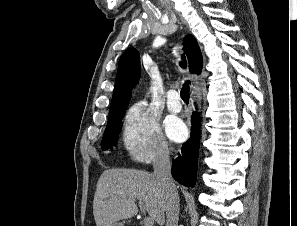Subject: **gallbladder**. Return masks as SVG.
I'll return each mask as SVG.
<instances>
[{
    "mask_svg": "<svg viewBox=\"0 0 297 226\" xmlns=\"http://www.w3.org/2000/svg\"><path fill=\"white\" fill-rule=\"evenodd\" d=\"M123 223H124V221L123 222H118V223H115L113 226H123Z\"/></svg>",
    "mask_w": 297,
    "mask_h": 226,
    "instance_id": "1",
    "label": "gallbladder"
}]
</instances>
